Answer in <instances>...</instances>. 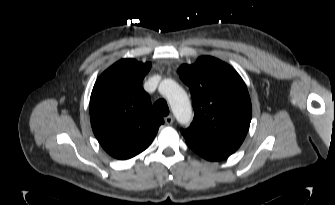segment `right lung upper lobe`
Returning a JSON list of instances; mask_svg holds the SVG:
<instances>
[{"mask_svg":"<svg viewBox=\"0 0 335 205\" xmlns=\"http://www.w3.org/2000/svg\"><path fill=\"white\" fill-rule=\"evenodd\" d=\"M151 63L122 59L97 79L90 98L92 130L114 158L130 159L153 141L163 118L151 109L142 81Z\"/></svg>","mask_w":335,"mask_h":205,"instance_id":"obj_1","label":"right lung upper lobe"}]
</instances>
